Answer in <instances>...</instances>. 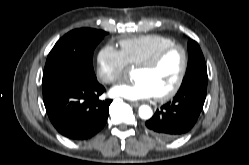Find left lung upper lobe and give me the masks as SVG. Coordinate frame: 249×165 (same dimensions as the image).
<instances>
[{
	"label": "left lung upper lobe",
	"mask_w": 249,
	"mask_h": 165,
	"mask_svg": "<svg viewBox=\"0 0 249 165\" xmlns=\"http://www.w3.org/2000/svg\"><path fill=\"white\" fill-rule=\"evenodd\" d=\"M188 51L189 59L187 71L180 88L185 87L193 82H208L205 59L198 43L194 40H190L188 42Z\"/></svg>",
	"instance_id": "1"
}]
</instances>
